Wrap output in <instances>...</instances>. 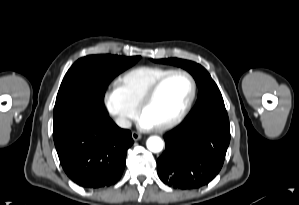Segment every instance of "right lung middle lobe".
Instances as JSON below:
<instances>
[{
    "instance_id": "dd1d6c3e",
    "label": "right lung middle lobe",
    "mask_w": 299,
    "mask_h": 205,
    "mask_svg": "<svg viewBox=\"0 0 299 205\" xmlns=\"http://www.w3.org/2000/svg\"><path fill=\"white\" fill-rule=\"evenodd\" d=\"M140 56L90 55L76 61L59 88L54 107V125L84 108L105 112L104 94L110 81Z\"/></svg>"
}]
</instances>
